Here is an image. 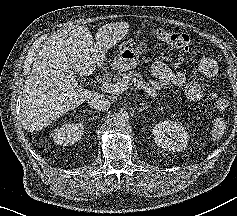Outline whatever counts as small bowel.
<instances>
[{
	"label": "small bowel",
	"mask_w": 237,
	"mask_h": 216,
	"mask_svg": "<svg viewBox=\"0 0 237 216\" xmlns=\"http://www.w3.org/2000/svg\"><path fill=\"white\" fill-rule=\"evenodd\" d=\"M199 71L206 77L214 76L218 67L211 58H204L199 64ZM152 73L162 86L184 87L185 94L192 100L201 99L206 94V86L198 82H187L183 73L173 71L167 64L157 61L152 65Z\"/></svg>",
	"instance_id": "1"
}]
</instances>
